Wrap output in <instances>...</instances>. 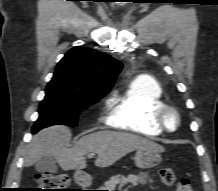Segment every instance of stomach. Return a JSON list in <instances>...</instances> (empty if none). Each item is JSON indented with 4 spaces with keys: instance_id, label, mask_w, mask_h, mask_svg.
<instances>
[{
    "instance_id": "1",
    "label": "stomach",
    "mask_w": 218,
    "mask_h": 191,
    "mask_svg": "<svg viewBox=\"0 0 218 191\" xmlns=\"http://www.w3.org/2000/svg\"><path fill=\"white\" fill-rule=\"evenodd\" d=\"M162 161L160 152L154 150H137L135 154V165L141 169H149L157 166ZM74 179L77 184L86 186L90 182V176L83 171H76Z\"/></svg>"
}]
</instances>
